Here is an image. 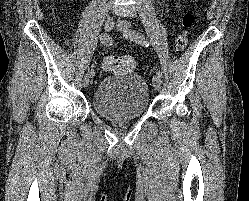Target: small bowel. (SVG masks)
Instances as JSON below:
<instances>
[{"label":"small bowel","instance_id":"obj_1","mask_svg":"<svg viewBox=\"0 0 249 201\" xmlns=\"http://www.w3.org/2000/svg\"><path fill=\"white\" fill-rule=\"evenodd\" d=\"M106 59H108V58H106ZM106 59H105V60H106ZM105 60H104V62H105ZM104 68H105V66H104ZM105 69H106V68H105Z\"/></svg>","mask_w":249,"mask_h":201}]
</instances>
